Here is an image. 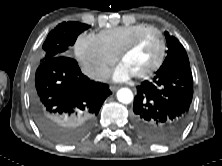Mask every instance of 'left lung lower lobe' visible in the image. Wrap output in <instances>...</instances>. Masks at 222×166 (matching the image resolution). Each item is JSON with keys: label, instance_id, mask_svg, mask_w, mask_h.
Listing matches in <instances>:
<instances>
[{"label": "left lung lower lobe", "instance_id": "0a47b994", "mask_svg": "<svg viewBox=\"0 0 222 166\" xmlns=\"http://www.w3.org/2000/svg\"><path fill=\"white\" fill-rule=\"evenodd\" d=\"M192 97L190 67L176 66L156 72L152 81L137 86L133 106L135 130L152 143L173 141L189 121Z\"/></svg>", "mask_w": 222, "mask_h": 166}]
</instances>
